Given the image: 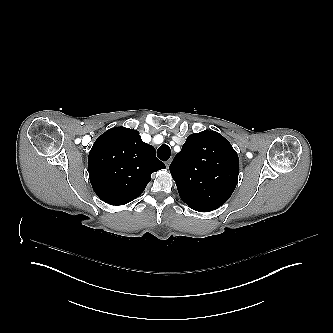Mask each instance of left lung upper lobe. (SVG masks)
<instances>
[{
  "instance_id": "obj_1",
  "label": "left lung upper lobe",
  "mask_w": 333,
  "mask_h": 333,
  "mask_svg": "<svg viewBox=\"0 0 333 333\" xmlns=\"http://www.w3.org/2000/svg\"><path fill=\"white\" fill-rule=\"evenodd\" d=\"M169 169L181 199L191 209L208 212L232 195L238 181L239 158L221 134L202 131L188 136Z\"/></svg>"
}]
</instances>
